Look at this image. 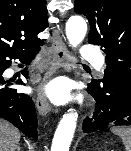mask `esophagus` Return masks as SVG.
<instances>
[{
	"mask_svg": "<svg viewBox=\"0 0 131 151\" xmlns=\"http://www.w3.org/2000/svg\"><path fill=\"white\" fill-rule=\"evenodd\" d=\"M52 35V62L49 71L44 78V81L50 78L61 68L65 70L70 69V63L72 62V58L65 46V43L61 36V30L58 26L53 27ZM36 107L41 116H47L50 113V103L41 91H39L36 96Z\"/></svg>",
	"mask_w": 131,
	"mask_h": 151,
	"instance_id": "obj_1",
	"label": "esophagus"
}]
</instances>
